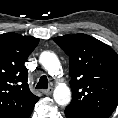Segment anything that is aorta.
I'll list each match as a JSON object with an SVG mask.
<instances>
[{
	"instance_id": "obj_1",
	"label": "aorta",
	"mask_w": 118,
	"mask_h": 118,
	"mask_svg": "<svg viewBox=\"0 0 118 118\" xmlns=\"http://www.w3.org/2000/svg\"><path fill=\"white\" fill-rule=\"evenodd\" d=\"M39 61L50 75L58 74L61 69L57 55L52 52H42ZM53 97L58 105L66 106L71 101V91L65 83H59L54 89Z\"/></svg>"
}]
</instances>
